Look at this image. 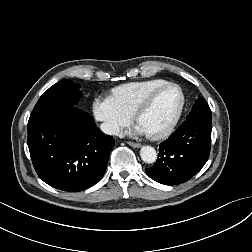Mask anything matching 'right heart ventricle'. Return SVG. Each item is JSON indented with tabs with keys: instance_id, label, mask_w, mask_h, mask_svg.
I'll return each instance as SVG.
<instances>
[{
	"instance_id": "obj_1",
	"label": "right heart ventricle",
	"mask_w": 252,
	"mask_h": 252,
	"mask_svg": "<svg viewBox=\"0 0 252 252\" xmlns=\"http://www.w3.org/2000/svg\"><path fill=\"white\" fill-rule=\"evenodd\" d=\"M166 82L168 81L165 79L155 78L126 83L113 88L111 97L119 106L133 114L138 104L151 90Z\"/></svg>"
}]
</instances>
